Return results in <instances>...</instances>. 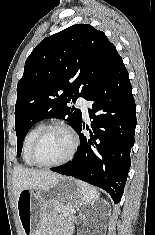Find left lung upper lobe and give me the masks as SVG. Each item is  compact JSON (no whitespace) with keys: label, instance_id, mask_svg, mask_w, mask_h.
I'll return each mask as SVG.
<instances>
[{"label":"left lung upper lobe","instance_id":"5c2ea615","mask_svg":"<svg viewBox=\"0 0 155 235\" xmlns=\"http://www.w3.org/2000/svg\"><path fill=\"white\" fill-rule=\"evenodd\" d=\"M119 58L104 32L89 24L72 25L43 39L27 58L17 85V155L29 129L43 118H61L75 129L82 113L67 103L87 99Z\"/></svg>","mask_w":155,"mask_h":235}]
</instances>
